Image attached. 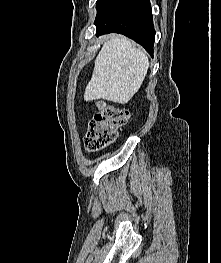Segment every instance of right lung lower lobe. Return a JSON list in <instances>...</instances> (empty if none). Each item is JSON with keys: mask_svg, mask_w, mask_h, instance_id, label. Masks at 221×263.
Listing matches in <instances>:
<instances>
[{"mask_svg": "<svg viewBox=\"0 0 221 263\" xmlns=\"http://www.w3.org/2000/svg\"><path fill=\"white\" fill-rule=\"evenodd\" d=\"M97 35L123 34L153 56L155 30L149 0H113L95 19Z\"/></svg>", "mask_w": 221, "mask_h": 263, "instance_id": "obj_1", "label": "right lung lower lobe"}]
</instances>
